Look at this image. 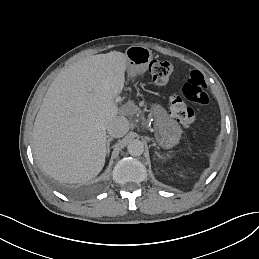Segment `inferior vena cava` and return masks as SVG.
I'll list each match as a JSON object with an SVG mask.
<instances>
[{
    "label": "inferior vena cava",
    "mask_w": 259,
    "mask_h": 259,
    "mask_svg": "<svg viewBox=\"0 0 259 259\" xmlns=\"http://www.w3.org/2000/svg\"><path fill=\"white\" fill-rule=\"evenodd\" d=\"M129 122L124 116H117L107 126L108 134L113 138H121L127 134Z\"/></svg>",
    "instance_id": "602c4592"
}]
</instances>
